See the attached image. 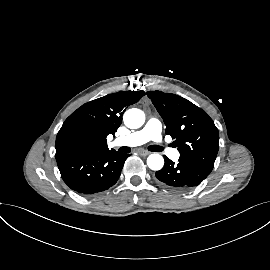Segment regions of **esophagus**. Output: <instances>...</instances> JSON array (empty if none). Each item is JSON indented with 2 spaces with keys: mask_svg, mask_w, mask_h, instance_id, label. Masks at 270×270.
Segmentation results:
<instances>
[{
  "mask_svg": "<svg viewBox=\"0 0 270 270\" xmlns=\"http://www.w3.org/2000/svg\"><path fill=\"white\" fill-rule=\"evenodd\" d=\"M138 153H139L140 155H142V156H147V155L150 154V152H149V151H146V150H139Z\"/></svg>",
  "mask_w": 270,
  "mask_h": 270,
  "instance_id": "34e87169",
  "label": "esophagus"
}]
</instances>
